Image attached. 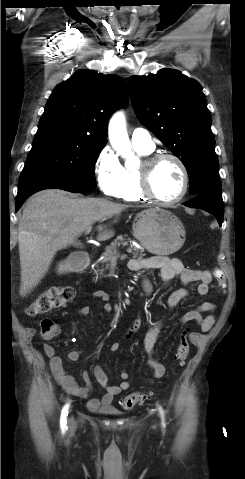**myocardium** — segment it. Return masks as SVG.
Masks as SVG:
<instances>
[{
    "label": "myocardium",
    "instance_id": "1",
    "mask_svg": "<svg viewBox=\"0 0 245 479\" xmlns=\"http://www.w3.org/2000/svg\"><path fill=\"white\" fill-rule=\"evenodd\" d=\"M163 160H172L174 161L182 174V189L177 197L171 200H163L158 195L154 192L152 188V174L155 169V167ZM189 172L188 169L183 162V160L169 152H162V153H155L153 155L148 156L145 161L143 162V165L139 169V188L143 196L149 200L152 201L156 204L162 205V206H170L174 205L178 202H180L187 194L188 189H189Z\"/></svg>",
    "mask_w": 245,
    "mask_h": 479
}]
</instances>
